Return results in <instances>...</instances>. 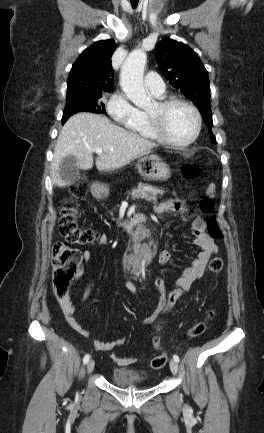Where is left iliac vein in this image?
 <instances>
[{"label":"left iliac vein","instance_id":"obj_1","mask_svg":"<svg viewBox=\"0 0 264 433\" xmlns=\"http://www.w3.org/2000/svg\"><path fill=\"white\" fill-rule=\"evenodd\" d=\"M170 369L174 375L178 372V363L175 360L170 361Z\"/></svg>","mask_w":264,"mask_h":433}]
</instances>
